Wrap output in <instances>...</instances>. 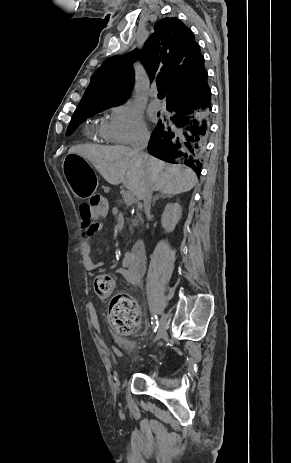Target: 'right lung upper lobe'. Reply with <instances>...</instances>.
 <instances>
[{"label":"right lung upper lobe","mask_w":291,"mask_h":463,"mask_svg":"<svg viewBox=\"0 0 291 463\" xmlns=\"http://www.w3.org/2000/svg\"><path fill=\"white\" fill-rule=\"evenodd\" d=\"M142 51L106 59L92 75L78 107L122 103L130 97L134 85L132 63L139 59L167 102L196 97L206 75L204 57L192 31L182 21L164 18L154 27Z\"/></svg>","instance_id":"cb5924a9"}]
</instances>
